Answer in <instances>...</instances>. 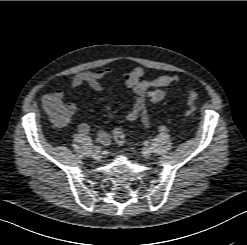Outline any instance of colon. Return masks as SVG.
Returning <instances> with one entry per match:
<instances>
[{"label":"colon","mask_w":247,"mask_h":245,"mask_svg":"<svg viewBox=\"0 0 247 245\" xmlns=\"http://www.w3.org/2000/svg\"><path fill=\"white\" fill-rule=\"evenodd\" d=\"M149 98L152 102L157 103L163 100L167 95V90L164 88H156L149 92ZM198 101V95L194 91L188 93V105L190 112L196 109ZM48 114L51 119L57 124H63L67 121L68 114L65 106L63 104H53L47 109ZM113 137L118 145H123L125 142V135L121 128H113Z\"/></svg>","instance_id":"5ec220e1"}]
</instances>
